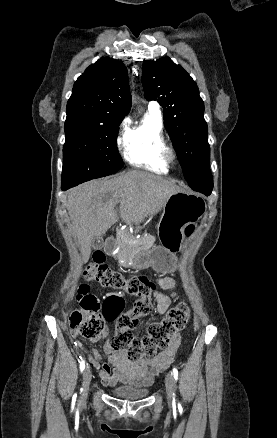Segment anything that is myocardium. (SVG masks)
I'll return each mask as SVG.
<instances>
[{"label": "myocardium", "instance_id": "obj_1", "mask_svg": "<svg viewBox=\"0 0 277 438\" xmlns=\"http://www.w3.org/2000/svg\"><path fill=\"white\" fill-rule=\"evenodd\" d=\"M161 160L166 165L175 163L177 159V152L170 145H165L160 152Z\"/></svg>", "mask_w": 277, "mask_h": 438}]
</instances>
